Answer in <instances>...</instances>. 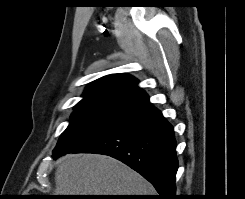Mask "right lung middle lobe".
Segmentation results:
<instances>
[{"label":"right lung middle lobe","mask_w":245,"mask_h":199,"mask_svg":"<svg viewBox=\"0 0 245 199\" xmlns=\"http://www.w3.org/2000/svg\"><path fill=\"white\" fill-rule=\"evenodd\" d=\"M127 116L101 109L74 108L70 124L53 150V157L71 153L110 131Z\"/></svg>","instance_id":"dd1d6c3e"}]
</instances>
